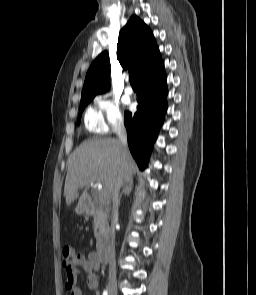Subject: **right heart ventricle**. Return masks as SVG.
I'll return each instance as SVG.
<instances>
[{
	"instance_id": "right-heart-ventricle-1",
	"label": "right heart ventricle",
	"mask_w": 256,
	"mask_h": 295,
	"mask_svg": "<svg viewBox=\"0 0 256 295\" xmlns=\"http://www.w3.org/2000/svg\"><path fill=\"white\" fill-rule=\"evenodd\" d=\"M84 124L86 129L91 133H101L104 131L97 111L91 107L88 108L85 114Z\"/></svg>"
}]
</instances>
